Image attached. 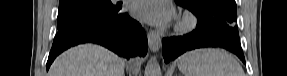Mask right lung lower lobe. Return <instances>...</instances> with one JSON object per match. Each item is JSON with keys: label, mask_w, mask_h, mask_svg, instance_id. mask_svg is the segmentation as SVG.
Listing matches in <instances>:
<instances>
[{"label": "right lung lower lobe", "mask_w": 287, "mask_h": 76, "mask_svg": "<svg viewBox=\"0 0 287 76\" xmlns=\"http://www.w3.org/2000/svg\"><path fill=\"white\" fill-rule=\"evenodd\" d=\"M93 42L124 58L144 57L148 42L142 26L120 10L105 18L76 23L58 31L47 61V69L54 59L71 46Z\"/></svg>", "instance_id": "obj_1"}]
</instances>
